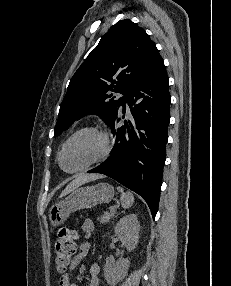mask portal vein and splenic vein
Wrapping results in <instances>:
<instances>
[{
	"instance_id": "portal-vein-and-splenic-vein-1",
	"label": "portal vein and splenic vein",
	"mask_w": 231,
	"mask_h": 286,
	"mask_svg": "<svg viewBox=\"0 0 231 286\" xmlns=\"http://www.w3.org/2000/svg\"><path fill=\"white\" fill-rule=\"evenodd\" d=\"M111 211L114 212V211H115V208H112Z\"/></svg>"
}]
</instances>
